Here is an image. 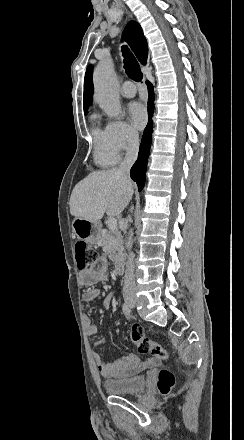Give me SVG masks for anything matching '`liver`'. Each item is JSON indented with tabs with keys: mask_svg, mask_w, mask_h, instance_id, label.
<instances>
[{
	"mask_svg": "<svg viewBox=\"0 0 244 440\" xmlns=\"http://www.w3.org/2000/svg\"><path fill=\"white\" fill-rule=\"evenodd\" d=\"M133 196L132 182L125 184L118 168L92 172L76 184L70 198V214L90 222H100L107 216H119Z\"/></svg>",
	"mask_w": 244,
	"mask_h": 440,
	"instance_id": "liver-1",
	"label": "liver"
}]
</instances>
